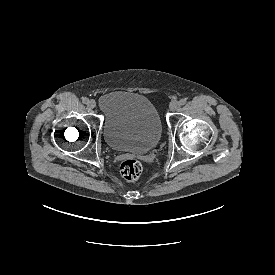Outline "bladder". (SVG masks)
I'll return each instance as SVG.
<instances>
[{
	"label": "bladder",
	"mask_w": 275,
	"mask_h": 275,
	"mask_svg": "<svg viewBox=\"0 0 275 275\" xmlns=\"http://www.w3.org/2000/svg\"><path fill=\"white\" fill-rule=\"evenodd\" d=\"M98 106L103 116V136L119 151L147 152L161 136V121L153 104L144 96L126 91L102 95Z\"/></svg>",
	"instance_id": "1"
}]
</instances>
